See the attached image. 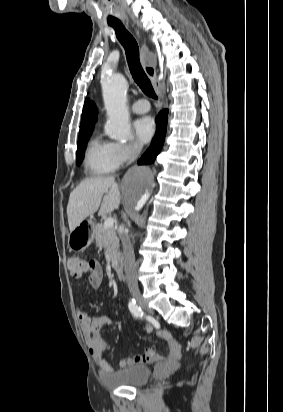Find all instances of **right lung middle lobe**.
<instances>
[{"label": "right lung middle lobe", "mask_w": 283, "mask_h": 412, "mask_svg": "<svg viewBox=\"0 0 283 412\" xmlns=\"http://www.w3.org/2000/svg\"><path fill=\"white\" fill-rule=\"evenodd\" d=\"M91 136V133L84 134L79 136L78 139V146H77V155H76V163L80 164L84 157V150L86 149L87 142Z\"/></svg>", "instance_id": "obj_1"}]
</instances>
